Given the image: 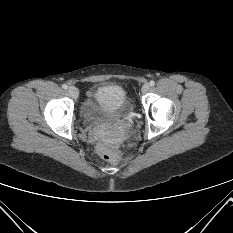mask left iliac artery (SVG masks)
<instances>
[{"label": "left iliac artery", "mask_w": 233, "mask_h": 233, "mask_svg": "<svg viewBox=\"0 0 233 233\" xmlns=\"http://www.w3.org/2000/svg\"><path fill=\"white\" fill-rule=\"evenodd\" d=\"M149 84H150V86H154L155 82L153 80H151Z\"/></svg>", "instance_id": "left-iliac-artery-1"}]
</instances>
